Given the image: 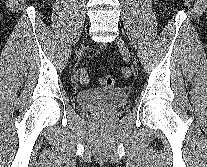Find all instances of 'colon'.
<instances>
[{"label":"colon","mask_w":207,"mask_h":167,"mask_svg":"<svg viewBox=\"0 0 207 167\" xmlns=\"http://www.w3.org/2000/svg\"><path fill=\"white\" fill-rule=\"evenodd\" d=\"M120 72L124 78H128L131 74L127 67H123ZM74 76L76 81L81 84H86L89 81V73L85 68L77 69ZM100 83L106 87H112L115 84V80L112 76L107 75L100 78Z\"/></svg>","instance_id":"colon-1"}]
</instances>
